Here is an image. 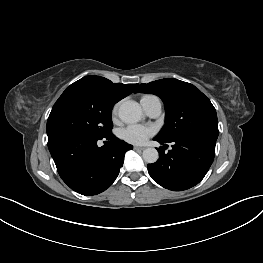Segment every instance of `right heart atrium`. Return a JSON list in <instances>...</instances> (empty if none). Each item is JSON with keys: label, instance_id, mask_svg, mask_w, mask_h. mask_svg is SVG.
<instances>
[{"label": "right heart atrium", "instance_id": "obj_1", "mask_svg": "<svg viewBox=\"0 0 263 263\" xmlns=\"http://www.w3.org/2000/svg\"><path fill=\"white\" fill-rule=\"evenodd\" d=\"M118 105H115L112 109V116L115 117L117 114Z\"/></svg>", "mask_w": 263, "mask_h": 263}]
</instances>
